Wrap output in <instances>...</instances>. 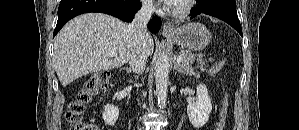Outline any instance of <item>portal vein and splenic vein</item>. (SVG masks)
<instances>
[{"label": "portal vein and splenic vein", "instance_id": "18ae733b", "mask_svg": "<svg viewBox=\"0 0 299 130\" xmlns=\"http://www.w3.org/2000/svg\"><path fill=\"white\" fill-rule=\"evenodd\" d=\"M108 55L109 56H115L116 54L114 53V52H110V53H108ZM181 60H182V55H179L178 57H177V63H180L181 62Z\"/></svg>", "mask_w": 299, "mask_h": 130}]
</instances>
